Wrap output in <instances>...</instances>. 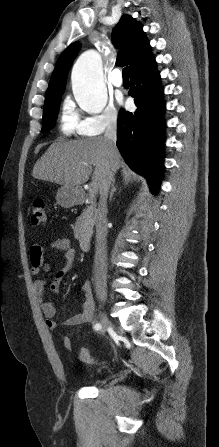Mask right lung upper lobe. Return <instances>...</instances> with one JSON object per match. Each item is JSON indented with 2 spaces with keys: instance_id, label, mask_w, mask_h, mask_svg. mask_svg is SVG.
Masks as SVG:
<instances>
[{
  "instance_id": "right-lung-upper-lobe-1",
  "label": "right lung upper lobe",
  "mask_w": 219,
  "mask_h": 447,
  "mask_svg": "<svg viewBox=\"0 0 219 447\" xmlns=\"http://www.w3.org/2000/svg\"><path fill=\"white\" fill-rule=\"evenodd\" d=\"M113 43L125 52L119 53L116 64L130 66V73L146 65L154 57L142 26L129 15L121 17L112 34ZM79 49L78 43L69 45L58 58L50 79L46 98L63 93L68 70Z\"/></svg>"
}]
</instances>
